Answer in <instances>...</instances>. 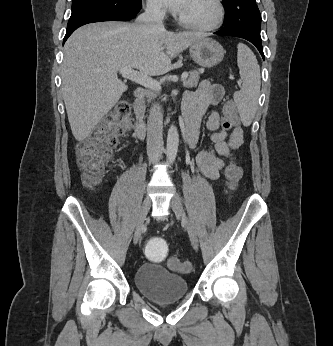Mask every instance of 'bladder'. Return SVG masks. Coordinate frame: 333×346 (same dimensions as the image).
I'll return each instance as SVG.
<instances>
[{
	"label": "bladder",
	"instance_id": "31cf9c89",
	"mask_svg": "<svg viewBox=\"0 0 333 346\" xmlns=\"http://www.w3.org/2000/svg\"><path fill=\"white\" fill-rule=\"evenodd\" d=\"M134 283L142 295L156 303L178 301L188 291V282L182 275L152 263H144L137 269Z\"/></svg>",
	"mask_w": 333,
	"mask_h": 346
}]
</instances>
